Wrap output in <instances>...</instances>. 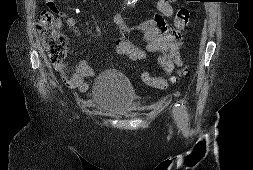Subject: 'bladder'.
Returning a JSON list of instances; mask_svg holds the SVG:
<instances>
[{"instance_id": "bladder-1", "label": "bladder", "mask_w": 253, "mask_h": 170, "mask_svg": "<svg viewBox=\"0 0 253 170\" xmlns=\"http://www.w3.org/2000/svg\"><path fill=\"white\" fill-rule=\"evenodd\" d=\"M136 93L129 79L115 69L104 70L94 80L91 100L94 107L113 116L129 113Z\"/></svg>"}]
</instances>
